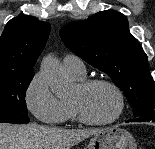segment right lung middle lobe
Instances as JSON below:
<instances>
[{"label":"right lung middle lobe","mask_w":155,"mask_h":149,"mask_svg":"<svg viewBox=\"0 0 155 149\" xmlns=\"http://www.w3.org/2000/svg\"><path fill=\"white\" fill-rule=\"evenodd\" d=\"M34 71L0 76V122L28 123L26 90Z\"/></svg>","instance_id":"obj_1"}]
</instances>
